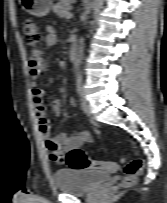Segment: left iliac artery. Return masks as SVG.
<instances>
[{
    "label": "left iliac artery",
    "instance_id": "obj_1",
    "mask_svg": "<svg viewBox=\"0 0 167 203\" xmlns=\"http://www.w3.org/2000/svg\"><path fill=\"white\" fill-rule=\"evenodd\" d=\"M77 92L79 93V95H82V93H83V86L81 84L80 77H78V79H77Z\"/></svg>",
    "mask_w": 167,
    "mask_h": 203
}]
</instances>
